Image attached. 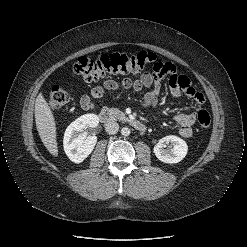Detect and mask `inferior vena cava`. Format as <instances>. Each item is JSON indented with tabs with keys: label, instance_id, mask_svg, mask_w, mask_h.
I'll return each mask as SVG.
<instances>
[{
	"label": "inferior vena cava",
	"instance_id": "inferior-vena-cava-1",
	"mask_svg": "<svg viewBox=\"0 0 247 247\" xmlns=\"http://www.w3.org/2000/svg\"><path fill=\"white\" fill-rule=\"evenodd\" d=\"M105 130L108 134H116L119 130V125L115 121H109L105 125Z\"/></svg>",
	"mask_w": 247,
	"mask_h": 247
}]
</instances>
